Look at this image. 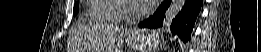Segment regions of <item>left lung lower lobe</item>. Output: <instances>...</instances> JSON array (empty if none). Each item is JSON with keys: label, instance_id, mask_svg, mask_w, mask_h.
Returning a JSON list of instances; mask_svg holds the SVG:
<instances>
[{"label": "left lung lower lobe", "instance_id": "0a47b994", "mask_svg": "<svg viewBox=\"0 0 261 52\" xmlns=\"http://www.w3.org/2000/svg\"><path fill=\"white\" fill-rule=\"evenodd\" d=\"M171 0H164L156 12L139 23L140 28H158L163 25V17L168 9ZM202 0H187L181 12L172 20L170 30L178 35L183 42L191 37L196 18L201 10Z\"/></svg>", "mask_w": 261, "mask_h": 52}]
</instances>
